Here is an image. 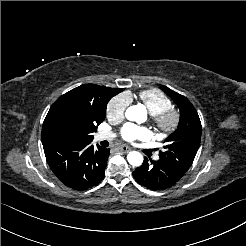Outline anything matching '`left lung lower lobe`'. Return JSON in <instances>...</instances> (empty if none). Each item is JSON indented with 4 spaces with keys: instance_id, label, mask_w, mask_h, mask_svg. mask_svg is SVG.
Returning a JSON list of instances; mask_svg holds the SVG:
<instances>
[{
    "instance_id": "left-lung-lower-lobe-1",
    "label": "left lung lower lobe",
    "mask_w": 246,
    "mask_h": 246,
    "mask_svg": "<svg viewBox=\"0 0 246 246\" xmlns=\"http://www.w3.org/2000/svg\"><path fill=\"white\" fill-rule=\"evenodd\" d=\"M184 174L179 168L161 158L151 162L145 158L143 165L133 172L136 181L151 190L166 189L176 184Z\"/></svg>"
}]
</instances>
